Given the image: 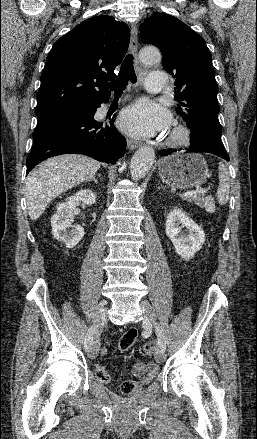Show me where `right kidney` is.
Returning <instances> with one entry per match:
<instances>
[{"label": "right kidney", "mask_w": 257, "mask_h": 439, "mask_svg": "<svg viewBox=\"0 0 257 439\" xmlns=\"http://www.w3.org/2000/svg\"><path fill=\"white\" fill-rule=\"evenodd\" d=\"M96 201V195L89 189H84L61 202L57 206V212L51 218L52 234L66 244L67 248H73L84 236V229L79 225H72V216L79 202L84 205H92ZM72 227V230L68 229Z\"/></svg>", "instance_id": "obj_1"}]
</instances>
